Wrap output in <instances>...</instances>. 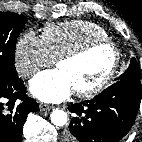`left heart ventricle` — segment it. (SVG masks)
Masks as SVG:
<instances>
[{
  "mask_svg": "<svg viewBox=\"0 0 142 142\" xmlns=\"http://www.w3.org/2000/svg\"><path fill=\"white\" fill-rule=\"evenodd\" d=\"M112 62V50L99 47L80 59L62 62L57 67L67 75L75 90L88 88L100 81Z\"/></svg>",
  "mask_w": 142,
  "mask_h": 142,
  "instance_id": "left-heart-ventricle-1",
  "label": "left heart ventricle"
}]
</instances>
